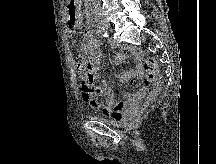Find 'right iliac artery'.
<instances>
[{
    "instance_id": "obj_1",
    "label": "right iliac artery",
    "mask_w": 216,
    "mask_h": 164,
    "mask_svg": "<svg viewBox=\"0 0 216 164\" xmlns=\"http://www.w3.org/2000/svg\"><path fill=\"white\" fill-rule=\"evenodd\" d=\"M96 33L99 35V36H103V37H107V32L105 30V28L101 25H97L96 26Z\"/></svg>"
}]
</instances>
